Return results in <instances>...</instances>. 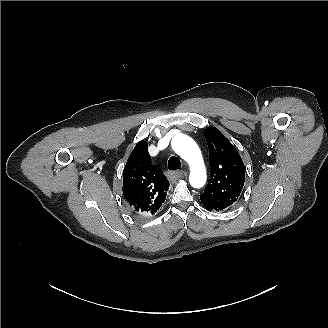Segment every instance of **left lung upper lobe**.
<instances>
[{"label":"left lung upper lobe","mask_w":328,"mask_h":328,"mask_svg":"<svg viewBox=\"0 0 328 328\" xmlns=\"http://www.w3.org/2000/svg\"><path fill=\"white\" fill-rule=\"evenodd\" d=\"M210 180L200 199L210 211H221L237 201L245 181L243 161L236 148L216 128L207 127Z\"/></svg>","instance_id":"5c2ea615"}]
</instances>
